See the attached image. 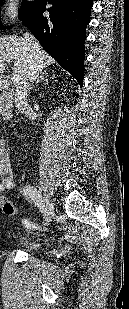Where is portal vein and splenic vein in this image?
Instances as JSON below:
<instances>
[{"mask_svg":"<svg viewBox=\"0 0 129 309\" xmlns=\"http://www.w3.org/2000/svg\"><path fill=\"white\" fill-rule=\"evenodd\" d=\"M13 79H14V82H17V81H18V79H17V78H15V77H13Z\"/></svg>","mask_w":129,"mask_h":309,"instance_id":"portal-vein-and-splenic-vein-1","label":"portal vein and splenic vein"}]
</instances>
